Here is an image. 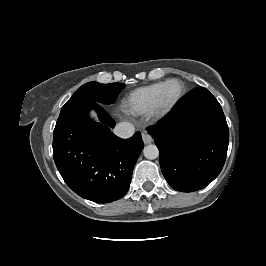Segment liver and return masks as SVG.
Wrapping results in <instances>:
<instances>
[{"label":"liver","mask_w":266,"mask_h":266,"mask_svg":"<svg viewBox=\"0 0 266 266\" xmlns=\"http://www.w3.org/2000/svg\"><path fill=\"white\" fill-rule=\"evenodd\" d=\"M91 116L97 119L96 114L94 112H91Z\"/></svg>","instance_id":"liver-1"}]
</instances>
